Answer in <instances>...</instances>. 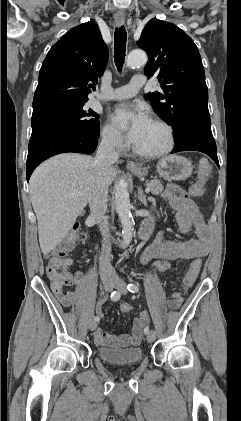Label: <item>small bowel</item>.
I'll return each mask as SVG.
<instances>
[{
  "label": "small bowel",
  "mask_w": 241,
  "mask_h": 421,
  "mask_svg": "<svg viewBox=\"0 0 241 421\" xmlns=\"http://www.w3.org/2000/svg\"><path fill=\"white\" fill-rule=\"evenodd\" d=\"M163 196L175 210L176 220L181 232L188 234L191 230H194L195 237L187 241L177 242L169 239L165 233H159L145 249L142 256L143 262L148 263L155 259L168 261L199 260L208 255L210 251V234L195 203L181 187L176 185H168ZM81 277V273H76L74 283L77 286L81 283ZM52 290L61 305L70 307L73 304L74 293L72 291H65L64 286L59 288L52 286ZM182 302V294L173 293L168 300V306L171 309H178ZM148 320L149 315L147 312L140 313L134 320L130 334L114 335L98 328L94 333L95 342L101 346H137L142 339L143 328Z\"/></svg>",
  "instance_id": "obj_1"
}]
</instances>
